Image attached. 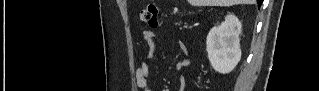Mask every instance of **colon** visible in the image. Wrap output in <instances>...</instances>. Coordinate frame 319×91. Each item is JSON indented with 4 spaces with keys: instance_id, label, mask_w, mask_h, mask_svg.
<instances>
[{
    "instance_id": "obj_1",
    "label": "colon",
    "mask_w": 319,
    "mask_h": 91,
    "mask_svg": "<svg viewBox=\"0 0 319 91\" xmlns=\"http://www.w3.org/2000/svg\"><path fill=\"white\" fill-rule=\"evenodd\" d=\"M157 13V5H155L154 3H150L140 10L139 18L142 22L148 24L151 28H156L158 26Z\"/></svg>"
}]
</instances>
